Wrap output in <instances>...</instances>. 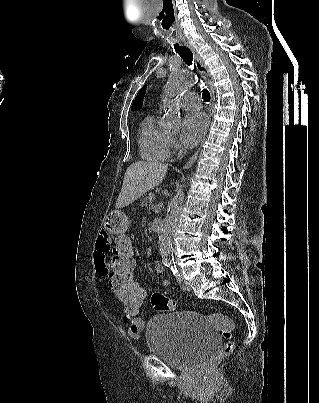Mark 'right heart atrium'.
I'll return each mask as SVG.
<instances>
[{
	"mask_svg": "<svg viewBox=\"0 0 319 403\" xmlns=\"http://www.w3.org/2000/svg\"><path fill=\"white\" fill-rule=\"evenodd\" d=\"M175 146H176V142H175L174 138L170 137L169 138V147H170V149L175 148Z\"/></svg>",
	"mask_w": 319,
	"mask_h": 403,
	"instance_id": "d8ad5b80",
	"label": "right heart atrium"
}]
</instances>
